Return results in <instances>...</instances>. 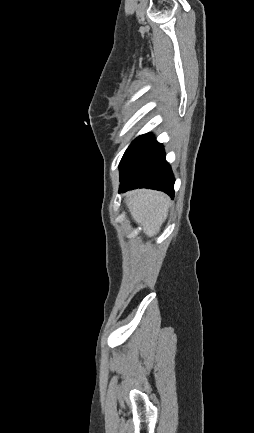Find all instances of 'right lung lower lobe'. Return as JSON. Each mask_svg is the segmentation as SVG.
<instances>
[{"instance_id":"right-lung-lower-lobe-1","label":"right lung lower lobe","mask_w":254,"mask_h":433,"mask_svg":"<svg viewBox=\"0 0 254 433\" xmlns=\"http://www.w3.org/2000/svg\"><path fill=\"white\" fill-rule=\"evenodd\" d=\"M119 193L135 188L161 190L173 198L174 177L163 146L151 134L136 138L120 162Z\"/></svg>"}]
</instances>
